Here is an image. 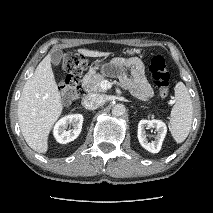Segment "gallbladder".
I'll return each instance as SVG.
<instances>
[{"instance_id":"1","label":"gallbladder","mask_w":213,"mask_h":213,"mask_svg":"<svg viewBox=\"0 0 213 213\" xmlns=\"http://www.w3.org/2000/svg\"><path fill=\"white\" fill-rule=\"evenodd\" d=\"M62 52L59 50H54L50 53V60L54 66H58L62 59Z\"/></svg>"}]
</instances>
